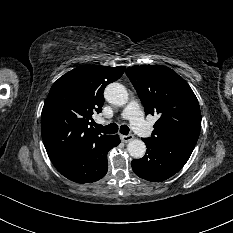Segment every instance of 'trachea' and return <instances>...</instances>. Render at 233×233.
I'll list each match as a JSON object with an SVG mask.
<instances>
[{
    "label": "trachea",
    "instance_id": "3493384b",
    "mask_svg": "<svg viewBox=\"0 0 233 233\" xmlns=\"http://www.w3.org/2000/svg\"><path fill=\"white\" fill-rule=\"evenodd\" d=\"M94 126L96 127L97 130L105 134H114V133H117L119 130L118 125L115 123L109 124L107 126H102L99 124H95ZM129 131L130 130L128 126L126 125L120 126V133H122L123 135H128Z\"/></svg>",
    "mask_w": 233,
    "mask_h": 233
}]
</instances>
